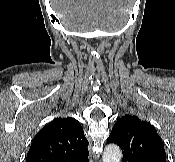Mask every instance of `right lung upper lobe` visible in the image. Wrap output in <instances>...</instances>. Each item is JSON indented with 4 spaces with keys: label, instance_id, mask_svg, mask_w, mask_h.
Segmentation results:
<instances>
[{
    "label": "right lung upper lobe",
    "instance_id": "cb5924a9",
    "mask_svg": "<svg viewBox=\"0 0 175 162\" xmlns=\"http://www.w3.org/2000/svg\"><path fill=\"white\" fill-rule=\"evenodd\" d=\"M88 140L79 122L56 118L34 137L26 162H87Z\"/></svg>",
    "mask_w": 175,
    "mask_h": 162
}]
</instances>
